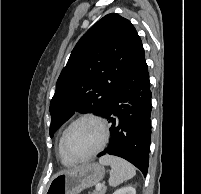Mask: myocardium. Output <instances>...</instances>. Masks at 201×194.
Masks as SVG:
<instances>
[{
    "label": "myocardium",
    "mask_w": 201,
    "mask_h": 194,
    "mask_svg": "<svg viewBox=\"0 0 201 194\" xmlns=\"http://www.w3.org/2000/svg\"><path fill=\"white\" fill-rule=\"evenodd\" d=\"M84 120L93 121L100 126V128L102 130V140H101L100 144L98 145V147L91 153H89L85 156H82V157H73V156L69 155L65 150L66 137H67V134L70 131V129L75 124H77L81 121H84ZM108 140H109V127H108L106 120L95 114H83V115H80L79 117L75 118L73 121H71L69 123V125L64 129V131L61 135L60 150H61L62 155L69 161H71L73 163L84 162V161H87V160L95 157L97 154H99L106 146Z\"/></svg>",
    "instance_id": "f54148a6"
}]
</instances>
